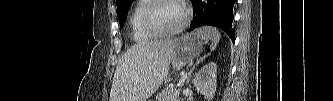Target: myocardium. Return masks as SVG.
I'll list each match as a JSON object with an SVG mask.
<instances>
[{
	"label": "myocardium",
	"mask_w": 333,
	"mask_h": 101,
	"mask_svg": "<svg viewBox=\"0 0 333 101\" xmlns=\"http://www.w3.org/2000/svg\"><path fill=\"white\" fill-rule=\"evenodd\" d=\"M165 2H173L180 6L183 12V18L180 22V24L174 28L173 30L170 31H162L158 29L156 24L154 23L153 20V13L155 9L162 3ZM189 21V11L185 7V5L181 1H176V0H154L149 3V5L146 7V9L143 12L142 15V25L145 31H147L149 34L153 35L154 37H170L174 36L178 33H180L188 24Z\"/></svg>",
	"instance_id": "1"
}]
</instances>
